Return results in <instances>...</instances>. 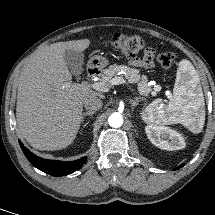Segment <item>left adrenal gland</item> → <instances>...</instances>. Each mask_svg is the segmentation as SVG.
<instances>
[{"label":"left adrenal gland","instance_id":"1","mask_svg":"<svg viewBox=\"0 0 215 215\" xmlns=\"http://www.w3.org/2000/svg\"><path fill=\"white\" fill-rule=\"evenodd\" d=\"M142 100L141 97H136L134 100L130 99V103L132 106V110L135 108V106H137L139 104V102Z\"/></svg>","mask_w":215,"mask_h":215}]
</instances>
